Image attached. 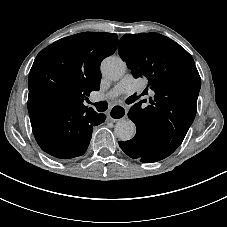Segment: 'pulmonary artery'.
Segmentation results:
<instances>
[{
	"instance_id": "1",
	"label": "pulmonary artery",
	"mask_w": 227,
	"mask_h": 227,
	"mask_svg": "<svg viewBox=\"0 0 227 227\" xmlns=\"http://www.w3.org/2000/svg\"><path fill=\"white\" fill-rule=\"evenodd\" d=\"M137 87V80L132 77V75H125L119 83L107 94L98 93V95L93 98V101L102 100L105 98H115L124 93H131ZM154 95V92H152Z\"/></svg>"
}]
</instances>
